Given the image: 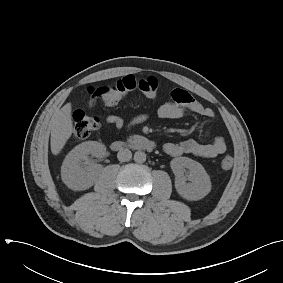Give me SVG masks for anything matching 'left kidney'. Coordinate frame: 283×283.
I'll return each mask as SVG.
<instances>
[{
	"label": "left kidney",
	"instance_id": "left-kidney-1",
	"mask_svg": "<svg viewBox=\"0 0 283 283\" xmlns=\"http://www.w3.org/2000/svg\"><path fill=\"white\" fill-rule=\"evenodd\" d=\"M170 166L176 177L175 188L183 198L196 201L211 191L210 177L199 162L188 157H178L172 159ZM186 180L190 183H186Z\"/></svg>",
	"mask_w": 283,
	"mask_h": 283
}]
</instances>
